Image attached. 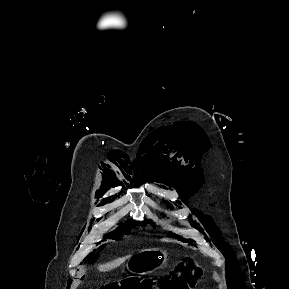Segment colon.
<instances>
[{
    "mask_svg": "<svg viewBox=\"0 0 289 289\" xmlns=\"http://www.w3.org/2000/svg\"><path fill=\"white\" fill-rule=\"evenodd\" d=\"M203 276V271L195 267L190 258L180 262L170 274L158 283L149 279L125 278L105 284L100 289H193Z\"/></svg>",
    "mask_w": 289,
    "mask_h": 289,
    "instance_id": "obj_1",
    "label": "colon"
}]
</instances>
